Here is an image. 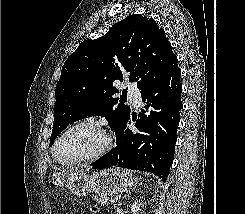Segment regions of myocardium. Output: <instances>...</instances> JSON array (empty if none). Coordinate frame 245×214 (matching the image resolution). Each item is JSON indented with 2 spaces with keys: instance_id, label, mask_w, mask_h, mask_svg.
I'll use <instances>...</instances> for the list:
<instances>
[{
  "instance_id": "myocardium-1",
  "label": "myocardium",
  "mask_w": 245,
  "mask_h": 214,
  "mask_svg": "<svg viewBox=\"0 0 245 214\" xmlns=\"http://www.w3.org/2000/svg\"><path fill=\"white\" fill-rule=\"evenodd\" d=\"M80 127H90L95 129L96 131H98L102 138H103V144L101 145V147L94 152L93 154L87 156V157H83V158H78V159H73V160H61L57 157V147L59 145V142L61 141V139L70 131L80 128ZM113 141H112V137L111 135L98 123L94 122V121H80L77 122L71 126H69L67 129H65L55 140L51 153L53 158L60 164L62 165H66V166H74V165H80V164H84V163H91L94 162L98 159H100L101 157H103L112 147Z\"/></svg>"
}]
</instances>
